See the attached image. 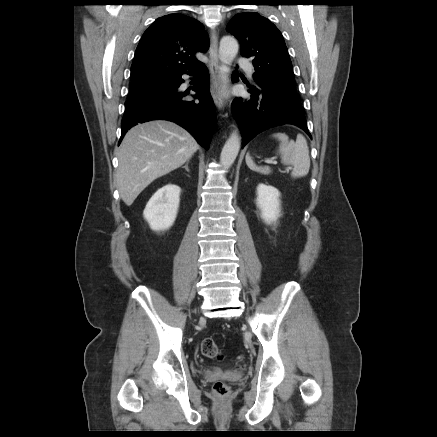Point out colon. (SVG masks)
Returning a JSON list of instances; mask_svg holds the SVG:
<instances>
[{"mask_svg":"<svg viewBox=\"0 0 437 437\" xmlns=\"http://www.w3.org/2000/svg\"><path fill=\"white\" fill-rule=\"evenodd\" d=\"M201 351L202 354L209 359L220 361L223 358L221 350L211 338H206L202 341ZM213 390L219 398H224L229 393L228 385L222 381L216 382L214 384Z\"/></svg>","mask_w":437,"mask_h":437,"instance_id":"colon-1","label":"colon"}]
</instances>
